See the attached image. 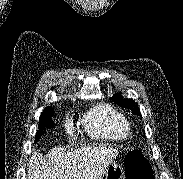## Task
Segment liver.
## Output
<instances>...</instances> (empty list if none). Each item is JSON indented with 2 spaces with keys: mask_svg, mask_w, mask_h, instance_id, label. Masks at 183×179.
Here are the masks:
<instances>
[{
  "mask_svg": "<svg viewBox=\"0 0 183 179\" xmlns=\"http://www.w3.org/2000/svg\"><path fill=\"white\" fill-rule=\"evenodd\" d=\"M117 155V149L105 146H87L71 152L57 147L44 159L39 151H34L27 179H101Z\"/></svg>",
  "mask_w": 183,
  "mask_h": 179,
  "instance_id": "1",
  "label": "liver"
}]
</instances>
